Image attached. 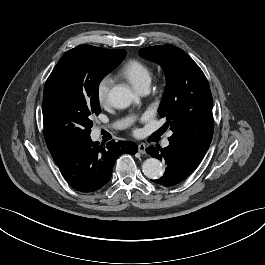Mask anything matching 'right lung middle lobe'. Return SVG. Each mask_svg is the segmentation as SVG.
<instances>
[{"instance_id":"1","label":"right lung middle lobe","mask_w":265,"mask_h":265,"mask_svg":"<svg viewBox=\"0 0 265 265\" xmlns=\"http://www.w3.org/2000/svg\"><path fill=\"white\" fill-rule=\"evenodd\" d=\"M125 56V50L80 45L60 59L46 81L42 105L44 137L52 157L90 137L91 119L101 112L99 83Z\"/></svg>"}]
</instances>
